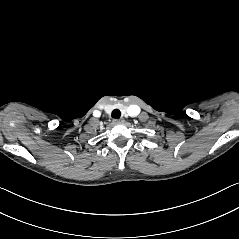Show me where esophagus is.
<instances>
[{"instance_id": "obj_1", "label": "esophagus", "mask_w": 239, "mask_h": 239, "mask_svg": "<svg viewBox=\"0 0 239 239\" xmlns=\"http://www.w3.org/2000/svg\"><path fill=\"white\" fill-rule=\"evenodd\" d=\"M124 118H119V119H115L114 122L115 123H124Z\"/></svg>"}]
</instances>
